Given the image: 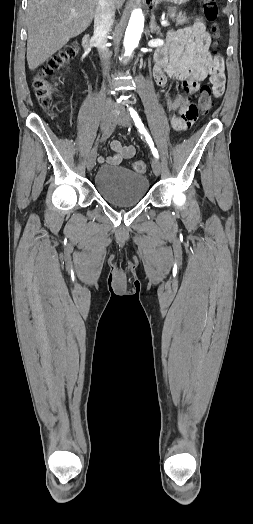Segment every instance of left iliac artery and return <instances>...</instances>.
Segmentation results:
<instances>
[{"label":"left iliac artery","mask_w":253,"mask_h":524,"mask_svg":"<svg viewBox=\"0 0 253 524\" xmlns=\"http://www.w3.org/2000/svg\"><path fill=\"white\" fill-rule=\"evenodd\" d=\"M129 111H130V115L136 125V127L139 129V132L144 134L145 138H146V141L147 143L149 144L151 150H152V153L155 157H158V152H157V149L155 148L154 146V143L152 141V138L150 137V135L148 134L147 130L145 129L139 115L137 114V112L133 109V108H129Z\"/></svg>","instance_id":"left-iliac-artery-1"}]
</instances>
